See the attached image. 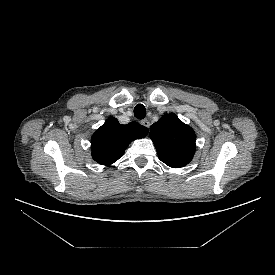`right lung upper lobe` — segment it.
<instances>
[{"label":"right lung upper lobe","instance_id":"1","mask_svg":"<svg viewBox=\"0 0 275 275\" xmlns=\"http://www.w3.org/2000/svg\"><path fill=\"white\" fill-rule=\"evenodd\" d=\"M148 132V128L137 122L122 125L109 117L92 136V157L97 163L109 166L123 156L131 141L145 137Z\"/></svg>","mask_w":275,"mask_h":275}]
</instances>
